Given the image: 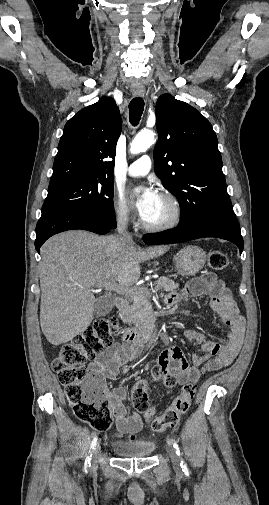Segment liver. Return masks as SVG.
I'll return each mask as SVG.
<instances>
[{
    "label": "liver",
    "mask_w": 269,
    "mask_h": 505,
    "mask_svg": "<svg viewBox=\"0 0 269 505\" xmlns=\"http://www.w3.org/2000/svg\"><path fill=\"white\" fill-rule=\"evenodd\" d=\"M166 246L146 250L119 236H98L82 230L57 234L41 247L40 325L52 345L71 341L94 316L93 288L118 282L131 286L140 264L163 255Z\"/></svg>",
    "instance_id": "6515ba94"
}]
</instances>
